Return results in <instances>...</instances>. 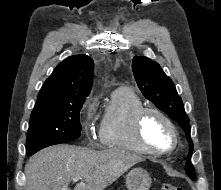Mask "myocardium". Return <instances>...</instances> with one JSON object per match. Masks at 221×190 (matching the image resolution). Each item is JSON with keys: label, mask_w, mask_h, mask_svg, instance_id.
<instances>
[{"label": "myocardium", "mask_w": 221, "mask_h": 190, "mask_svg": "<svg viewBox=\"0 0 221 190\" xmlns=\"http://www.w3.org/2000/svg\"><path fill=\"white\" fill-rule=\"evenodd\" d=\"M149 114H155L158 117H160L166 125L169 127L172 136H173V142L171 146L167 149H155L151 147L145 140L143 136V124L146 119V117ZM133 133L136 142L138 145L142 148L144 152L147 154L153 155V156H162L165 154H168L172 151H174L178 145H179V133L172 122V120L160 109L155 107H144L142 108L135 116L134 118V125H133Z\"/></svg>", "instance_id": "f54148a6"}]
</instances>
